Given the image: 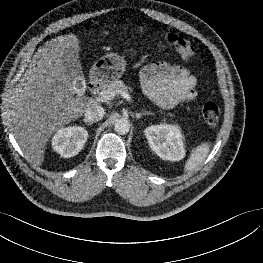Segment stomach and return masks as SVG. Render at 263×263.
Masks as SVG:
<instances>
[{
    "instance_id": "1",
    "label": "stomach",
    "mask_w": 263,
    "mask_h": 263,
    "mask_svg": "<svg viewBox=\"0 0 263 263\" xmlns=\"http://www.w3.org/2000/svg\"><path fill=\"white\" fill-rule=\"evenodd\" d=\"M136 51L131 49V55ZM126 69V60L124 57L115 53H109L97 60L91 68L90 79L94 82L108 83L118 80Z\"/></svg>"
}]
</instances>
